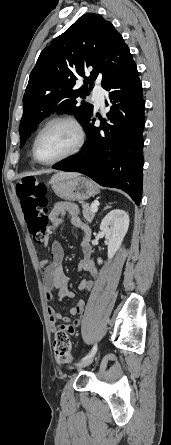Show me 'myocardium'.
Segmentation results:
<instances>
[{"label": "myocardium", "instance_id": "myocardium-1", "mask_svg": "<svg viewBox=\"0 0 171 445\" xmlns=\"http://www.w3.org/2000/svg\"><path fill=\"white\" fill-rule=\"evenodd\" d=\"M57 124H66V125L71 126L74 129L75 134H76V142H75L74 146L69 151L64 153L63 155H61L53 160H50V161H43L37 155V144H38L39 138L48 128H50L51 126L57 125ZM85 138H86V134H85L84 127L77 119L70 117V116H60V117L52 118L42 126V128L38 131L37 135L35 136V139L33 141V146H32L33 158L36 162H38L39 164H42V165L56 164L64 159H67V158L72 157L75 154H77L83 147Z\"/></svg>", "mask_w": 171, "mask_h": 445}]
</instances>
